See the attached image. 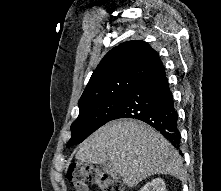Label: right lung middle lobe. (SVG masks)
<instances>
[{"label": "right lung middle lobe", "instance_id": "1", "mask_svg": "<svg viewBox=\"0 0 221 191\" xmlns=\"http://www.w3.org/2000/svg\"><path fill=\"white\" fill-rule=\"evenodd\" d=\"M127 93L80 108L79 116L72 123V137L67 147L81 143L95 130L112 120Z\"/></svg>", "mask_w": 221, "mask_h": 191}]
</instances>
